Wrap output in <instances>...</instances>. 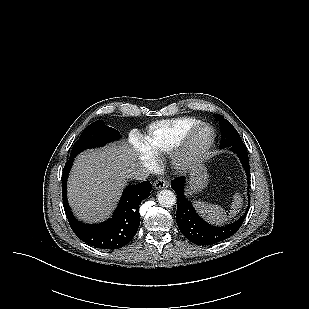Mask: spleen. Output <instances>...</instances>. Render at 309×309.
<instances>
[{
  "label": "spleen",
  "instance_id": "obj_1",
  "mask_svg": "<svg viewBox=\"0 0 309 309\" xmlns=\"http://www.w3.org/2000/svg\"><path fill=\"white\" fill-rule=\"evenodd\" d=\"M234 200L231 205L230 215L227 216L225 210L218 205L209 204L202 201H195L194 205L198 212L208 221L216 224H222L229 218L233 217L239 212V208L242 204V198L240 195L235 194Z\"/></svg>",
  "mask_w": 309,
  "mask_h": 309
}]
</instances>
